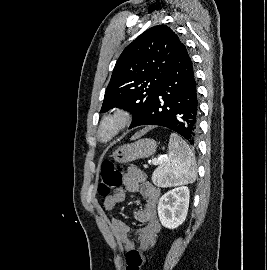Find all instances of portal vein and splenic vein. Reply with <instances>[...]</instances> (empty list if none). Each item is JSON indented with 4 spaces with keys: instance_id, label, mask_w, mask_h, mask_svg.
Wrapping results in <instances>:
<instances>
[{
    "instance_id": "obj_1",
    "label": "portal vein and splenic vein",
    "mask_w": 267,
    "mask_h": 270,
    "mask_svg": "<svg viewBox=\"0 0 267 270\" xmlns=\"http://www.w3.org/2000/svg\"><path fill=\"white\" fill-rule=\"evenodd\" d=\"M162 161H163V158L162 157H158V158L152 159V163L154 165H157V164L161 163Z\"/></svg>"
}]
</instances>
